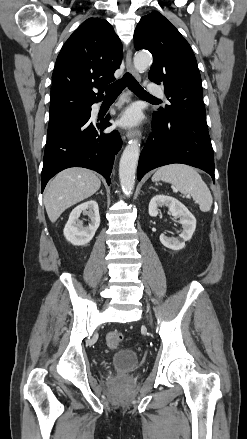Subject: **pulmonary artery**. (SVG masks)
Instances as JSON below:
<instances>
[{
  "label": "pulmonary artery",
  "instance_id": "pulmonary-artery-1",
  "mask_svg": "<svg viewBox=\"0 0 247 439\" xmlns=\"http://www.w3.org/2000/svg\"><path fill=\"white\" fill-rule=\"evenodd\" d=\"M148 92L152 95H156V96H160V97H162L164 95L163 89L155 83L148 84Z\"/></svg>",
  "mask_w": 247,
  "mask_h": 439
}]
</instances>
